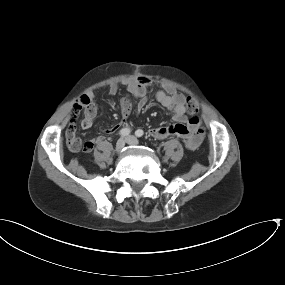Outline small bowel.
Here are the masks:
<instances>
[{"label": "small bowel", "mask_w": 285, "mask_h": 285, "mask_svg": "<svg viewBox=\"0 0 285 285\" xmlns=\"http://www.w3.org/2000/svg\"><path fill=\"white\" fill-rule=\"evenodd\" d=\"M150 80L141 76L135 80H131L126 84L128 93L138 100V108L142 109L148 104V86ZM119 86L116 83L111 84L108 87V94L113 96L117 94ZM86 94L93 101L95 98L94 92L88 90ZM156 100L159 104L167 108L173 113L174 123L169 126L153 127L149 130V135L155 139H164L170 136H179L183 139L184 145L188 150L197 149L205 137V131L202 127L201 119L197 115L186 116V98L182 93L169 90L168 92L158 91L156 93ZM122 119L108 132H116L127 128V117L131 112L132 103L129 98H123L120 101ZM96 115V109L94 106H90L85 111V117L82 120V127L89 129L93 126V119ZM75 124L68 126L66 130L68 148L72 152H78L80 150L89 152L92 150L93 145L100 137H95L85 141V145L82 149H78L75 145L73 136L75 134Z\"/></svg>", "instance_id": "c3829d8e"}]
</instances>
